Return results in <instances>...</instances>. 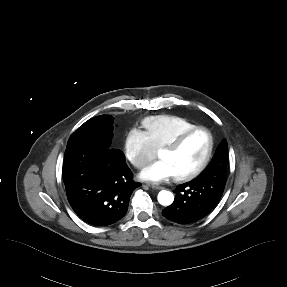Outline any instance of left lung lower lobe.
Listing matches in <instances>:
<instances>
[{
  "mask_svg": "<svg viewBox=\"0 0 287 287\" xmlns=\"http://www.w3.org/2000/svg\"><path fill=\"white\" fill-rule=\"evenodd\" d=\"M225 186V178L214 177L210 184L191 181L178 185L174 190V202L162 214L167 219L187 224L206 216L220 200Z\"/></svg>",
  "mask_w": 287,
  "mask_h": 287,
  "instance_id": "obj_1",
  "label": "left lung lower lobe"
}]
</instances>
